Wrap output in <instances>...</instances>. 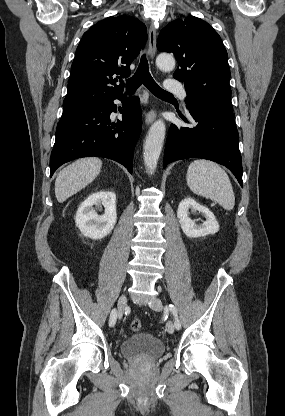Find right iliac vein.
Instances as JSON below:
<instances>
[{"mask_svg":"<svg viewBox=\"0 0 285 416\" xmlns=\"http://www.w3.org/2000/svg\"><path fill=\"white\" fill-rule=\"evenodd\" d=\"M126 305H127V298H126V295L123 294V295L120 296V298L118 299V302H117V307H118L117 317H118V319L122 318Z\"/></svg>","mask_w":285,"mask_h":416,"instance_id":"right-iliac-vein-1","label":"right iliac vein"}]
</instances>
